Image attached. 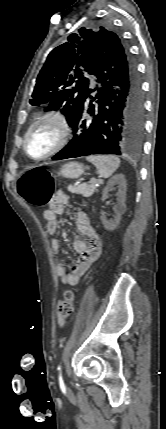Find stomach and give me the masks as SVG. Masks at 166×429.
I'll return each mask as SVG.
<instances>
[{"instance_id": "1", "label": "stomach", "mask_w": 166, "mask_h": 429, "mask_svg": "<svg viewBox=\"0 0 166 429\" xmlns=\"http://www.w3.org/2000/svg\"><path fill=\"white\" fill-rule=\"evenodd\" d=\"M85 167L78 162H69L64 164L59 172L64 178L76 179L84 173Z\"/></svg>"}]
</instances>
